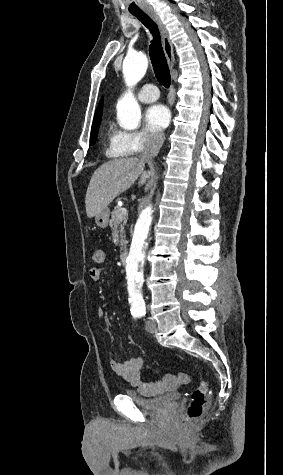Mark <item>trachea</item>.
<instances>
[{
  "instance_id": "trachea-1",
  "label": "trachea",
  "mask_w": 283,
  "mask_h": 475,
  "mask_svg": "<svg viewBox=\"0 0 283 475\" xmlns=\"http://www.w3.org/2000/svg\"><path fill=\"white\" fill-rule=\"evenodd\" d=\"M131 14L137 17L152 34L153 39L149 46L151 64L158 82L163 85V87L169 88L171 82L170 70L161 45L158 26L148 15H146V13L142 11L131 12Z\"/></svg>"
}]
</instances>
